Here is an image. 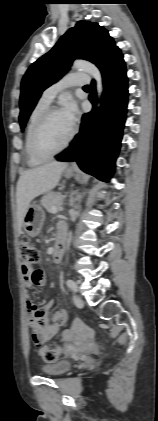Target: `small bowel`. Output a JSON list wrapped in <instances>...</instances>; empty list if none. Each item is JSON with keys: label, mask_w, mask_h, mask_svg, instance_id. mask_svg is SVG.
<instances>
[{"label": "small bowel", "mask_w": 158, "mask_h": 421, "mask_svg": "<svg viewBox=\"0 0 158 421\" xmlns=\"http://www.w3.org/2000/svg\"><path fill=\"white\" fill-rule=\"evenodd\" d=\"M23 278L27 286L44 287L46 285V276L39 269L30 271L23 269ZM52 305L53 301L39 306L27 300L32 338L38 346L56 335H60L61 340L69 344L68 348L89 340L90 330L81 320H75L71 329L61 331V327L68 320V314L64 310H59L51 319Z\"/></svg>", "instance_id": "small-bowel-1"}]
</instances>
